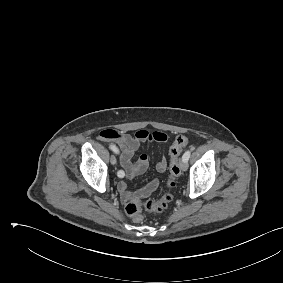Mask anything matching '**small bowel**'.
I'll list each match as a JSON object with an SVG mask.
<instances>
[{
  "label": "small bowel",
  "mask_w": 283,
  "mask_h": 283,
  "mask_svg": "<svg viewBox=\"0 0 283 283\" xmlns=\"http://www.w3.org/2000/svg\"><path fill=\"white\" fill-rule=\"evenodd\" d=\"M100 138L104 141H111L118 144L120 164L124 169V176L127 179H132L145 172L148 167V157L142 154L136 162L132 161L135 151L139 149L142 143L148 141H156L161 144H166L168 137L165 133L147 130H138L134 135L119 131L116 129H104L100 132ZM167 169L166 158L160 159L156 165V170L159 173L165 172ZM159 185V179L153 178L145 186L138 189L136 192H131L128 188L127 181H121L118 184V190L121 195V199L124 202L129 201L132 197L144 198L150 195Z\"/></svg>",
  "instance_id": "1"
}]
</instances>
